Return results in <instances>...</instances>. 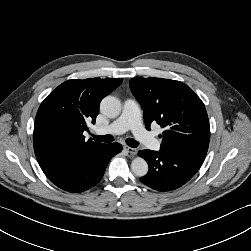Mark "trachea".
I'll list each match as a JSON object with an SVG mask.
<instances>
[{
    "mask_svg": "<svg viewBox=\"0 0 251 251\" xmlns=\"http://www.w3.org/2000/svg\"><path fill=\"white\" fill-rule=\"evenodd\" d=\"M93 137L97 139L98 141L105 142V143H110L114 140L113 136L111 135H105V136L93 135ZM126 144L132 148H136L139 146V142H137L136 140L132 138H127Z\"/></svg>",
    "mask_w": 251,
    "mask_h": 251,
    "instance_id": "trachea-1",
    "label": "trachea"
}]
</instances>
